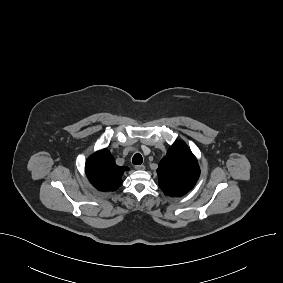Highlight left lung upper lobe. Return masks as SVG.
Returning a JSON list of instances; mask_svg holds the SVG:
<instances>
[{"label": "left lung upper lobe", "mask_w": 283, "mask_h": 283, "mask_svg": "<svg viewBox=\"0 0 283 283\" xmlns=\"http://www.w3.org/2000/svg\"><path fill=\"white\" fill-rule=\"evenodd\" d=\"M157 174L162 191L166 195L180 197L194 187L200 169L186 143L175 141L161 160Z\"/></svg>", "instance_id": "5c2ea615"}]
</instances>
